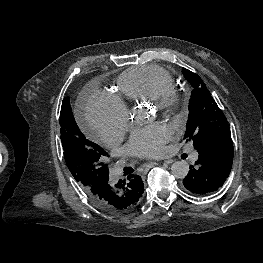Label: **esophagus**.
<instances>
[{"label": "esophagus", "mask_w": 263, "mask_h": 263, "mask_svg": "<svg viewBox=\"0 0 263 263\" xmlns=\"http://www.w3.org/2000/svg\"><path fill=\"white\" fill-rule=\"evenodd\" d=\"M167 163H171V161H168ZM158 164H159V162H150L147 164V167H153V166L158 165Z\"/></svg>", "instance_id": "34e87169"}]
</instances>
